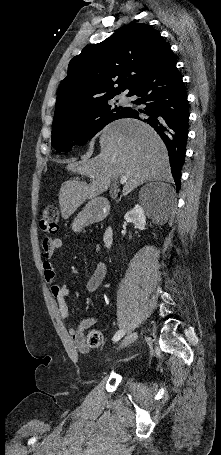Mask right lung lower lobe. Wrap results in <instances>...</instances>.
Returning <instances> with one entry per match:
<instances>
[{"label": "right lung lower lobe", "instance_id": "98d812e1", "mask_svg": "<svg viewBox=\"0 0 221 455\" xmlns=\"http://www.w3.org/2000/svg\"><path fill=\"white\" fill-rule=\"evenodd\" d=\"M134 95L139 96L134 103L145 104L146 107L144 110L129 108L123 118L140 119V115H145L143 121L156 130L168 149L171 172L179 190L188 138L189 112L187 93L171 48L137 84L130 96Z\"/></svg>", "mask_w": 221, "mask_h": 455}]
</instances>
